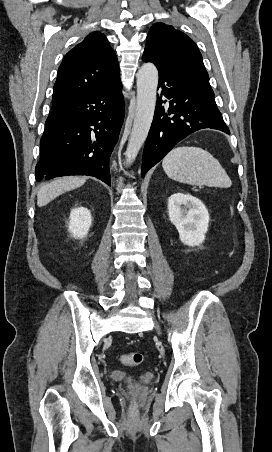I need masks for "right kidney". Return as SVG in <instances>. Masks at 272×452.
<instances>
[{
  "label": "right kidney",
  "mask_w": 272,
  "mask_h": 452,
  "mask_svg": "<svg viewBox=\"0 0 272 452\" xmlns=\"http://www.w3.org/2000/svg\"><path fill=\"white\" fill-rule=\"evenodd\" d=\"M92 225L91 213L85 207L72 209L69 220V232L74 238H85Z\"/></svg>",
  "instance_id": "ca27d5eb"
}]
</instances>
